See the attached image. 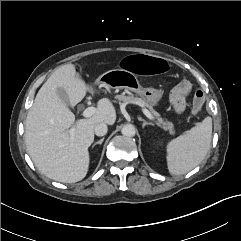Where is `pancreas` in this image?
I'll return each mask as SVG.
<instances>
[{
    "mask_svg": "<svg viewBox=\"0 0 241 241\" xmlns=\"http://www.w3.org/2000/svg\"><path fill=\"white\" fill-rule=\"evenodd\" d=\"M117 99L125 103H134L141 107L148 108L150 112L157 118V124L159 126H161L165 130H169L170 133H174L173 124L170 122H164L162 118L159 117V114L153 109V107L149 103H147L144 99L133 97V96H124V95H118Z\"/></svg>",
    "mask_w": 241,
    "mask_h": 241,
    "instance_id": "obj_1",
    "label": "pancreas"
}]
</instances>
